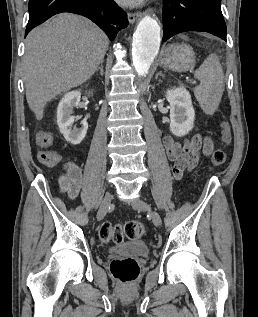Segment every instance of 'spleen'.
<instances>
[{"label":"spleen","mask_w":258,"mask_h":317,"mask_svg":"<svg viewBox=\"0 0 258 317\" xmlns=\"http://www.w3.org/2000/svg\"><path fill=\"white\" fill-rule=\"evenodd\" d=\"M194 74L200 80L194 94L205 114H214L224 90V74L218 56L209 54Z\"/></svg>","instance_id":"3e777b00"}]
</instances>
